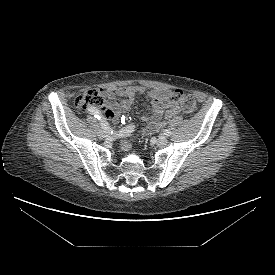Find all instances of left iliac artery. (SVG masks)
Returning <instances> with one entry per match:
<instances>
[{"label": "left iliac artery", "mask_w": 275, "mask_h": 275, "mask_svg": "<svg viewBox=\"0 0 275 275\" xmlns=\"http://www.w3.org/2000/svg\"><path fill=\"white\" fill-rule=\"evenodd\" d=\"M164 135L169 137L171 135V131L169 129L164 130Z\"/></svg>", "instance_id": "left-iliac-artery-1"}]
</instances>
